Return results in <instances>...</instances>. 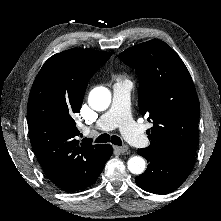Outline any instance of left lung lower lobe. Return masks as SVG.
Wrapping results in <instances>:
<instances>
[{"label":"left lung lower lobe","mask_w":221,"mask_h":221,"mask_svg":"<svg viewBox=\"0 0 221 221\" xmlns=\"http://www.w3.org/2000/svg\"><path fill=\"white\" fill-rule=\"evenodd\" d=\"M149 165L135 178L136 184L147 192L167 194L177 189L191 173L195 158L148 148L138 149Z\"/></svg>","instance_id":"0a47b994"}]
</instances>
